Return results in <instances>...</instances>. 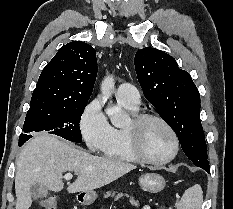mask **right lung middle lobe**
Listing matches in <instances>:
<instances>
[{
	"label": "right lung middle lobe",
	"mask_w": 233,
	"mask_h": 209,
	"mask_svg": "<svg viewBox=\"0 0 233 209\" xmlns=\"http://www.w3.org/2000/svg\"><path fill=\"white\" fill-rule=\"evenodd\" d=\"M87 103L67 108L30 107L24 122V133L19 137V146H22L32 135L30 132L50 131V134L81 143L82 136L79 122Z\"/></svg>",
	"instance_id": "obj_1"
}]
</instances>
